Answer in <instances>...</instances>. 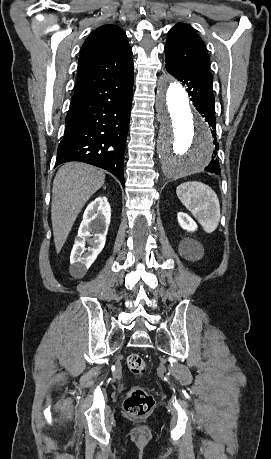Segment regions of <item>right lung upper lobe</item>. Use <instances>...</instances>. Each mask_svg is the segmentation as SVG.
Masks as SVG:
<instances>
[{
  "label": "right lung upper lobe",
  "instance_id": "right-lung-upper-lobe-1",
  "mask_svg": "<svg viewBox=\"0 0 271 459\" xmlns=\"http://www.w3.org/2000/svg\"><path fill=\"white\" fill-rule=\"evenodd\" d=\"M133 71L132 49L123 29L112 24L100 26L82 46L72 101Z\"/></svg>",
  "mask_w": 271,
  "mask_h": 459
}]
</instances>
